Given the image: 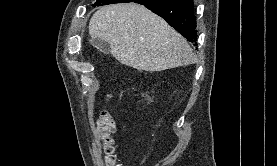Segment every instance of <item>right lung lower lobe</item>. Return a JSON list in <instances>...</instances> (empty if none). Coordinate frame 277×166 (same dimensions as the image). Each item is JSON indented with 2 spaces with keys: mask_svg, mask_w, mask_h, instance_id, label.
I'll list each match as a JSON object with an SVG mask.
<instances>
[{
  "mask_svg": "<svg viewBox=\"0 0 277 166\" xmlns=\"http://www.w3.org/2000/svg\"><path fill=\"white\" fill-rule=\"evenodd\" d=\"M136 2L164 18L188 41L196 43V22L192 0H113L112 3Z\"/></svg>",
  "mask_w": 277,
  "mask_h": 166,
  "instance_id": "obj_1",
  "label": "right lung lower lobe"
}]
</instances>
